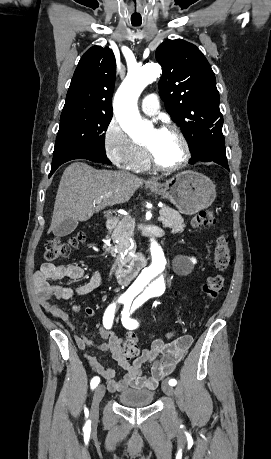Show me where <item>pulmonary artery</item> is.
Returning <instances> with one entry per match:
<instances>
[{
  "mask_svg": "<svg viewBox=\"0 0 271 459\" xmlns=\"http://www.w3.org/2000/svg\"><path fill=\"white\" fill-rule=\"evenodd\" d=\"M159 103V95H146L141 103V109L147 115H155L160 109Z\"/></svg>",
  "mask_w": 271,
  "mask_h": 459,
  "instance_id": "1",
  "label": "pulmonary artery"
}]
</instances>
